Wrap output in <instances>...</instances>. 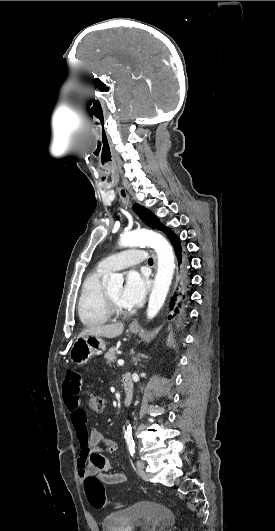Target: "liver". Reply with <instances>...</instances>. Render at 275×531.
Returning <instances> with one entry per match:
<instances>
[{
    "instance_id": "1",
    "label": "liver",
    "mask_w": 275,
    "mask_h": 531,
    "mask_svg": "<svg viewBox=\"0 0 275 531\" xmlns=\"http://www.w3.org/2000/svg\"><path fill=\"white\" fill-rule=\"evenodd\" d=\"M124 331L123 323H113V325H92L88 329H83L79 337H85V335H98V337H106V339H115L122 335Z\"/></svg>"
}]
</instances>
